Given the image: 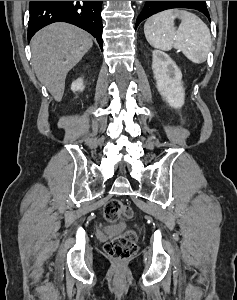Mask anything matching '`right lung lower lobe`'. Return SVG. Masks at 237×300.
<instances>
[{
    "label": "right lung lower lobe",
    "instance_id": "obj_1",
    "mask_svg": "<svg viewBox=\"0 0 237 300\" xmlns=\"http://www.w3.org/2000/svg\"><path fill=\"white\" fill-rule=\"evenodd\" d=\"M102 1H30L28 40L54 22L74 24L93 35L102 49Z\"/></svg>",
    "mask_w": 237,
    "mask_h": 300
}]
</instances>
